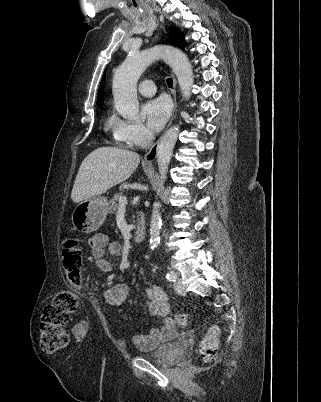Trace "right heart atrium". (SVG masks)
<instances>
[{"label": "right heart atrium", "mask_w": 321, "mask_h": 402, "mask_svg": "<svg viewBox=\"0 0 321 402\" xmlns=\"http://www.w3.org/2000/svg\"><path fill=\"white\" fill-rule=\"evenodd\" d=\"M127 140L132 146L144 147L150 140V133L141 124H128Z\"/></svg>", "instance_id": "obj_1"}]
</instances>
